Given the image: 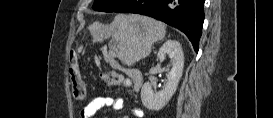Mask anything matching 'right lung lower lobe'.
I'll list each match as a JSON object with an SVG mask.
<instances>
[{
	"label": "right lung lower lobe",
	"instance_id": "1",
	"mask_svg": "<svg viewBox=\"0 0 273 118\" xmlns=\"http://www.w3.org/2000/svg\"><path fill=\"white\" fill-rule=\"evenodd\" d=\"M205 0H130L116 12L151 16L181 30L198 52Z\"/></svg>",
	"mask_w": 273,
	"mask_h": 118
}]
</instances>
